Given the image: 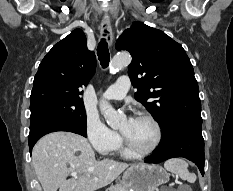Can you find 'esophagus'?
Listing matches in <instances>:
<instances>
[{"instance_id": "34e87169", "label": "esophagus", "mask_w": 233, "mask_h": 191, "mask_svg": "<svg viewBox=\"0 0 233 191\" xmlns=\"http://www.w3.org/2000/svg\"><path fill=\"white\" fill-rule=\"evenodd\" d=\"M102 38L108 43L109 47H112L113 33L110 19L104 17L101 24Z\"/></svg>"}]
</instances>
